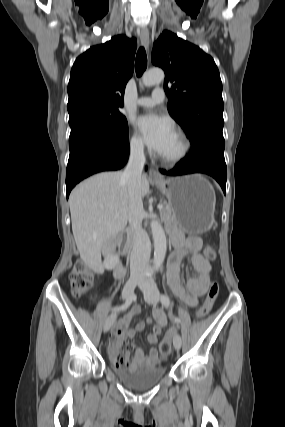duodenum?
<instances>
[{
  "label": "duodenum",
  "mask_w": 285,
  "mask_h": 427,
  "mask_svg": "<svg viewBox=\"0 0 285 427\" xmlns=\"http://www.w3.org/2000/svg\"><path fill=\"white\" fill-rule=\"evenodd\" d=\"M127 240H128L127 235H123L120 238H118L117 242L119 245H123ZM124 272H125V269L121 265L116 268L115 275L116 277H122L124 275Z\"/></svg>",
  "instance_id": "duodenum-1"
}]
</instances>
